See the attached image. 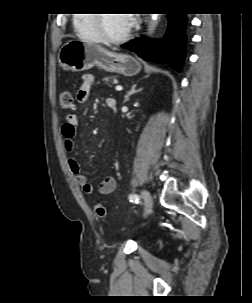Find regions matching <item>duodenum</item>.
<instances>
[{
  "mask_svg": "<svg viewBox=\"0 0 252 303\" xmlns=\"http://www.w3.org/2000/svg\"><path fill=\"white\" fill-rule=\"evenodd\" d=\"M109 107H110V108H114V107H115V103H113V102L110 103V104H109Z\"/></svg>",
  "mask_w": 252,
  "mask_h": 303,
  "instance_id": "obj_1",
  "label": "duodenum"
}]
</instances>
